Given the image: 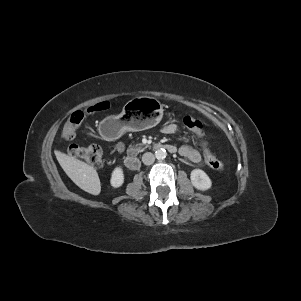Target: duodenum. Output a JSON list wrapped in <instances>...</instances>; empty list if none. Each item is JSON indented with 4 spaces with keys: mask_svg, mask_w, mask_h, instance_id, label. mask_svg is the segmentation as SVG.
Masks as SVG:
<instances>
[{
    "mask_svg": "<svg viewBox=\"0 0 301 301\" xmlns=\"http://www.w3.org/2000/svg\"><path fill=\"white\" fill-rule=\"evenodd\" d=\"M155 148H163L170 153H175L177 148L171 144H164V143H156ZM124 165L129 170H136L139 167V161L134 156H127L124 158Z\"/></svg>",
    "mask_w": 301,
    "mask_h": 301,
    "instance_id": "duodenum-1",
    "label": "duodenum"
}]
</instances>
